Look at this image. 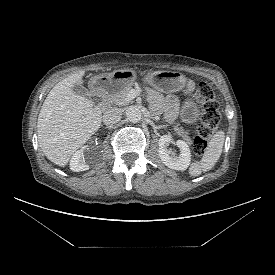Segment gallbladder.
<instances>
[{
	"label": "gallbladder",
	"instance_id": "1",
	"mask_svg": "<svg viewBox=\"0 0 275 275\" xmlns=\"http://www.w3.org/2000/svg\"><path fill=\"white\" fill-rule=\"evenodd\" d=\"M72 91L75 94H78V95H81V96H84V97L89 96L88 90L84 86H82L81 84H74L73 87H72Z\"/></svg>",
	"mask_w": 275,
	"mask_h": 275
}]
</instances>
